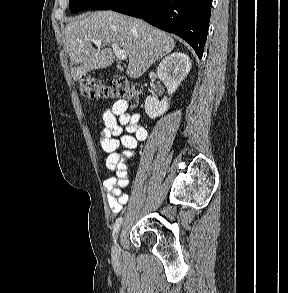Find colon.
I'll return each mask as SVG.
<instances>
[{
  "instance_id": "colon-1",
  "label": "colon",
  "mask_w": 288,
  "mask_h": 293,
  "mask_svg": "<svg viewBox=\"0 0 288 293\" xmlns=\"http://www.w3.org/2000/svg\"><path fill=\"white\" fill-rule=\"evenodd\" d=\"M79 87L82 95L89 100H124L130 106H136L141 95L137 86L123 79L105 84L87 75L80 79Z\"/></svg>"
}]
</instances>
